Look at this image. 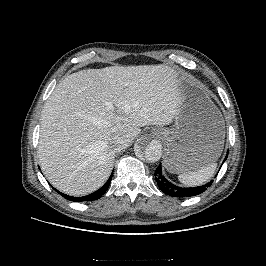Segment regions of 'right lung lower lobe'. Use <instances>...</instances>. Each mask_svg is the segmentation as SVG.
<instances>
[{
	"instance_id": "obj_1",
	"label": "right lung lower lobe",
	"mask_w": 266,
	"mask_h": 266,
	"mask_svg": "<svg viewBox=\"0 0 266 266\" xmlns=\"http://www.w3.org/2000/svg\"><path fill=\"white\" fill-rule=\"evenodd\" d=\"M112 175L113 173L111 174V176L109 177V179L107 180V182L99 189L97 190L96 192L92 193V194H89L87 196H83V197H72V196H68V195H65L59 191H56L62 195L64 198L68 199V200H71V201H74V202H79V201H92V200H97L99 199L108 189L109 187V184L111 182V178H112Z\"/></svg>"
}]
</instances>
